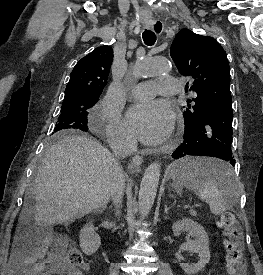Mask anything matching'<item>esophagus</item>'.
Listing matches in <instances>:
<instances>
[{
	"instance_id": "esophagus-1",
	"label": "esophagus",
	"mask_w": 263,
	"mask_h": 275,
	"mask_svg": "<svg viewBox=\"0 0 263 275\" xmlns=\"http://www.w3.org/2000/svg\"><path fill=\"white\" fill-rule=\"evenodd\" d=\"M147 28L154 31L156 34L160 35L163 31L164 25L162 22H155L154 24L148 25ZM142 162H143V157L140 154H136L132 158L130 169L132 171H136L139 168V166L142 164Z\"/></svg>"
}]
</instances>
